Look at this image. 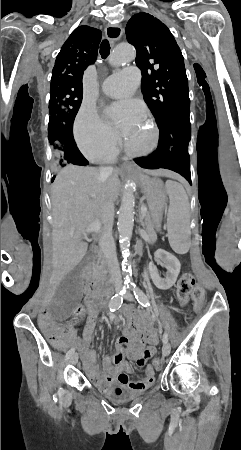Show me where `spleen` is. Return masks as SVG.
<instances>
[{
    "label": "spleen",
    "instance_id": "obj_1",
    "mask_svg": "<svg viewBox=\"0 0 241 450\" xmlns=\"http://www.w3.org/2000/svg\"><path fill=\"white\" fill-rule=\"evenodd\" d=\"M166 192L170 198L168 202V211H184V212H168L167 224L170 229L168 237L169 243L176 254H187L190 248V230L187 228L190 224L189 211L190 205L186 190L182 184L167 180L165 184Z\"/></svg>",
    "mask_w": 241,
    "mask_h": 450
}]
</instances>
